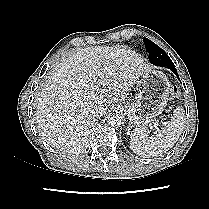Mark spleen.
Wrapping results in <instances>:
<instances>
[{"label":"spleen","mask_w":209,"mask_h":209,"mask_svg":"<svg viewBox=\"0 0 209 209\" xmlns=\"http://www.w3.org/2000/svg\"><path fill=\"white\" fill-rule=\"evenodd\" d=\"M186 116L182 107H177L167 126L154 135L143 128H135L130 135L131 150L142 157H155L166 153L178 141L185 127Z\"/></svg>","instance_id":"spleen-1"}]
</instances>
